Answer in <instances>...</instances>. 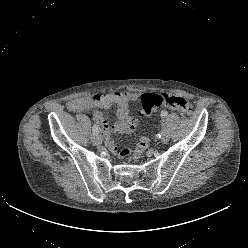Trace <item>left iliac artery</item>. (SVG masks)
Listing matches in <instances>:
<instances>
[{
	"instance_id": "obj_1",
	"label": "left iliac artery",
	"mask_w": 248,
	"mask_h": 248,
	"mask_svg": "<svg viewBox=\"0 0 248 248\" xmlns=\"http://www.w3.org/2000/svg\"><path fill=\"white\" fill-rule=\"evenodd\" d=\"M167 115H168L167 111L164 110V111L161 112L162 117H166ZM163 133H164V129L161 130V132L159 134V137H161L163 135Z\"/></svg>"
}]
</instances>
